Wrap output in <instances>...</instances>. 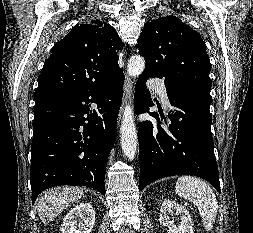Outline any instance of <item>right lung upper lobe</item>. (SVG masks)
Segmentation results:
<instances>
[{
    "label": "right lung upper lobe",
    "mask_w": 253,
    "mask_h": 233,
    "mask_svg": "<svg viewBox=\"0 0 253 233\" xmlns=\"http://www.w3.org/2000/svg\"><path fill=\"white\" fill-rule=\"evenodd\" d=\"M122 48L118 34L106 22L77 24L52 48L39 75L34 100L84 91L109 81L121 71L117 51Z\"/></svg>",
    "instance_id": "cb5924a9"
}]
</instances>
